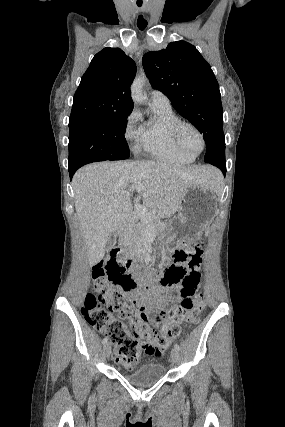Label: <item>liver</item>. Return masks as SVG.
<instances>
[{"mask_svg":"<svg viewBox=\"0 0 285 427\" xmlns=\"http://www.w3.org/2000/svg\"><path fill=\"white\" fill-rule=\"evenodd\" d=\"M219 176L211 166L155 161H107L80 168L72 186L89 265L103 259L110 235L132 220L131 194L135 184L142 186L139 193L144 207L161 218H169L178 211L186 188L203 184L218 192Z\"/></svg>","mask_w":285,"mask_h":427,"instance_id":"6515ba94","label":"liver"}]
</instances>
